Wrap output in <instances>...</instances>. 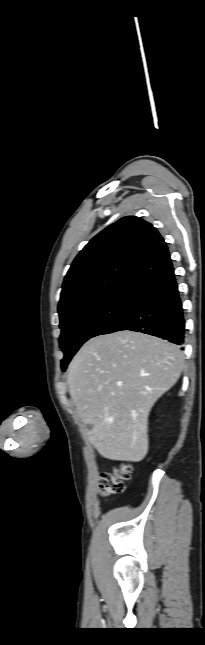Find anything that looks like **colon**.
Listing matches in <instances>:
<instances>
[{
	"label": "colon",
	"instance_id": "1",
	"mask_svg": "<svg viewBox=\"0 0 205 645\" xmlns=\"http://www.w3.org/2000/svg\"><path fill=\"white\" fill-rule=\"evenodd\" d=\"M133 466L130 462H122L110 472L101 475L100 483L104 495L122 493L125 489V481L130 478Z\"/></svg>",
	"mask_w": 205,
	"mask_h": 645
}]
</instances>
